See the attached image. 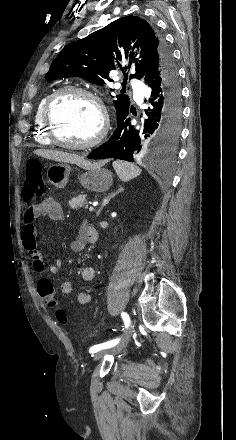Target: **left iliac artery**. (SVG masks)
I'll use <instances>...</instances> for the list:
<instances>
[{
  "mask_svg": "<svg viewBox=\"0 0 236 440\" xmlns=\"http://www.w3.org/2000/svg\"><path fill=\"white\" fill-rule=\"evenodd\" d=\"M121 316L124 321L125 328H127L130 323V317L126 312H122ZM119 341H120V338H116V339L110 340V341L102 343V344L94 345L89 349V352L96 353L100 350L111 348V347L115 346Z\"/></svg>",
  "mask_w": 236,
  "mask_h": 440,
  "instance_id": "44dca946",
  "label": "left iliac artery"
}]
</instances>
